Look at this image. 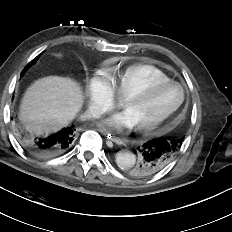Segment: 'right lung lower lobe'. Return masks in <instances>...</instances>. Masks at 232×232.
<instances>
[{"mask_svg": "<svg viewBox=\"0 0 232 232\" xmlns=\"http://www.w3.org/2000/svg\"><path fill=\"white\" fill-rule=\"evenodd\" d=\"M75 129L67 127L46 137L29 135L19 130L17 137L22 147L32 156L48 159L59 156L69 150L74 141Z\"/></svg>", "mask_w": 232, "mask_h": 232, "instance_id": "1", "label": "right lung lower lobe"}]
</instances>
